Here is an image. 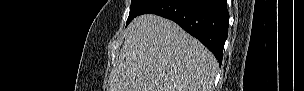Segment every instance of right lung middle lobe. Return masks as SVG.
I'll list each match as a JSON object with an SVG mask.
<instances>
[{
	"mask_svg": "<svg viewBox=\"0 0 304 91\" xmlns=\"http://www.w3.org/2000/svg\"><path fill=\"white\" fill-rule=\"evenodd\" d=\"M150 0H131V6H130V12L127 19V25L138 16L141 12V10L144 8V6L149 2Z\"/></svg>",
	"mask_w": 304,
	"mask_h": 91,
	"instance_id": "obj_1",
	"label": "right lung middle lobe"
}]
</instances>
